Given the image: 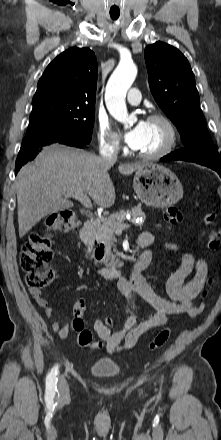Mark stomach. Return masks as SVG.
Returning <instances> with one entry per match:
<instances>
[{
    "instance_id": "stomach-1",
    "label": "stomach",
    "mask_w": 221,
    "mask_h": 440,
    "mask_svg": "<svg viewBox=\"0 0 221 440\" xmlns=\"http://www.w3.org/2000/svg\"><path fill=\"white\" fill-rule=\"evenodd\" d=\"M133 187L143 203L156 208L174 205L183 196V187L176 174L155 163L144 164L136 171Z\"/></svg>"
}]
</instances>
